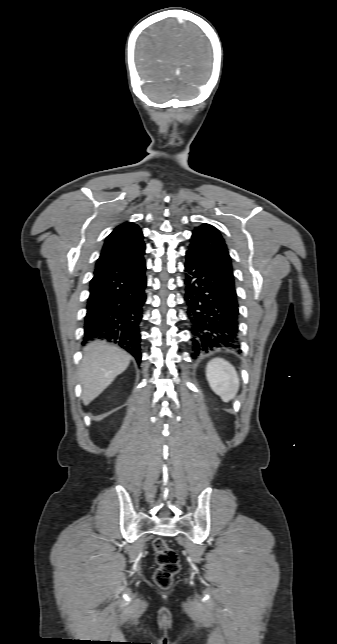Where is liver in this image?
Returning a JSON list of instances; mask_svg holds the SVG:
<instances>
[{
  "instance_id": "1",
  "label": "liver",
  "mask_w": 337,
  "mask_h": 644,
  "mask_svg": "<svg viewBox=\"0 0 337 644\" xmlns=\"http://www.w3.org/2000/svg\"><path fill=\"white\" fill-rule=\"evenodd\" d=\"M79 370L84 405L90 404L127 369L131 356L120 347L103 341L89 343Z\"/></svg>"
}]
</instances>
